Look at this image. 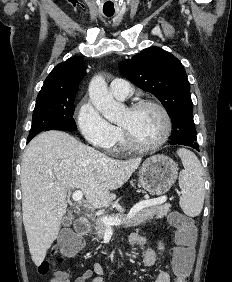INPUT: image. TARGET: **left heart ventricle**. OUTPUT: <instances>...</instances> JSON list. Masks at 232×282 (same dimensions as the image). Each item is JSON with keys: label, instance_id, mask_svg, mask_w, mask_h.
<instances>
[{"label": "left heart ventricle", "instance_id": "b2bd125f", "mask_svg": "<svg viewBox=\"0 0 232 282\" xmlns=\"http://www.w3.org/2000/svg\"><path fill=\"white\" fill-rule=\"evenodd\" d=\"M133 139L143 145L157 142L164 133L165 121L162 114L154 107L145 106L135 111L126 110L120 121Z\"/></svg>", "mask_w": 232, "mask_h": 282}]
</instances>
